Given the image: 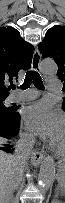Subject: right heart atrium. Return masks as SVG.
Returning <instances> with one entry per match:
<instances>
[{"instance_id":"obj_1","label":"right heart atrium","mask_w":65,"mask_h":203,"mask_svg":"<svg viewBox=\"0 0 65 203\" xmlns=\"http://www.w3.org/2000/svg\"><path fill=\"white\" fill-rule=\"evenodd\" d=\"M24 139H25V141L26 142H32V140H33V138H32V136L31 135H29V134H24Z\"/></svg>"}]
</instances>
